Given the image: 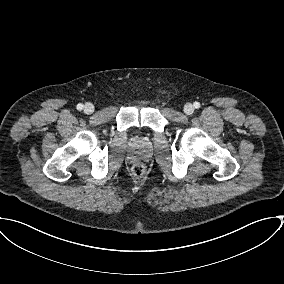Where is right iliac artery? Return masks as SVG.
Returning a JSON list of instances; mask_svg holds the SVG:
<instances>
[{"mask_svg": "<svg viewBox=\"0 0 284 284\" xmlns=\"http://www.w3.org/2000/svg\"><path fill=\"white\" fill-rule=\"evenodd\" d=\"M78 110H82L83 109V104L79 103L76 107Z\"/></svg>", "mask_w": 284, "mask_h": 284, "instance_id": "obj_1", "label": "right iliac artery"}]
</instances>
